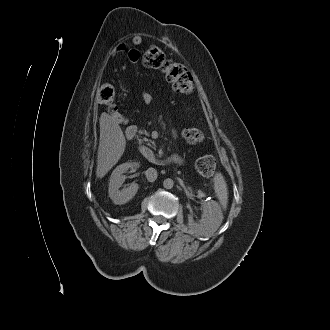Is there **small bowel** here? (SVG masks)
<instances>
[{
    "label": "small bowel",
    "mask_w": 330,
    "mask_h": 330,
    "mask_svg": "<svg viewBox=\"0 0 330 330\" xmlns=\"http://www.w3.org/2000/svg\"><path fill=\"white\" fill-rule=\"evenodd\" d=\"M140 42H141V38L140 37L136 36V37L133 38V43L134 44L138 45V44H140ZM125 49H126V45L125 44H120V45H118L115 48V52L116 53H121ZM132 52H135L136 53V56H133L132 55ZM129 57H130V59H131V61L133 63H136L137 60H138V57H139L138 51L131 50L130 53H129ZM141 100L143 101L144 104L150 105L153 102V95L150 92H148V91H144V92L141 93ZM124 122H125V119H124V121L122 123H124ZM128 128H134V127L131 126V127H128ZM172 160L174 162H179V163L182 161L181 158L178 155H173L172 156Z\"/></svg>",
    "instance_id": "1"
}]
</instances>
